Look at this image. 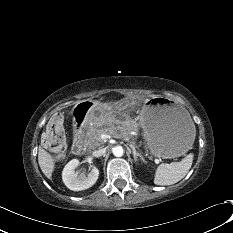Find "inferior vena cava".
<instances>
[{
	"mask_svg": "<svg viewBox=\"0 0 233 233\" xmlns=\"http://www.w3.org/2000/svg\"><path fill=\"white\" fill-rule=\"evenodd\" d=\"M106 152V148H102V149H99V150H96L93 152V156L94 157H100L102 156L103 154H105Z\"/></svg>",
	"mask_w": 233,
	"mask_h": 233,
	"instance_id": "inferior-vena-cava-1",
	"label": "inferior vena cava"
}]
</instances>
